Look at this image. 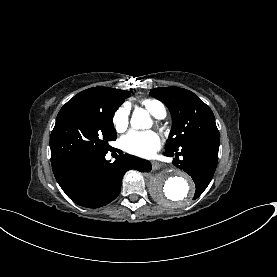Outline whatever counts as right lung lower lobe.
<instances>
[{
	"label": "right lung lower lobe",
	"instance_id": "98d812e1",
	"mask_svg": "<svg viewBox=\"0 0 277 277\" xmlns=\"http://www.w3.org/2000/svg\"><path fill=\"white\" fill-rule=\"evenodd\" d=\"M108 150L73 156L52 165L60 187L75 203L88 208L102 207L119 195L122 178L129 169L151 170L149 161L127 154H120L110 163L105 159Z\"/></svg>",
	"mask_w": 277,
	"mask_h": 277
}]
</instances>
